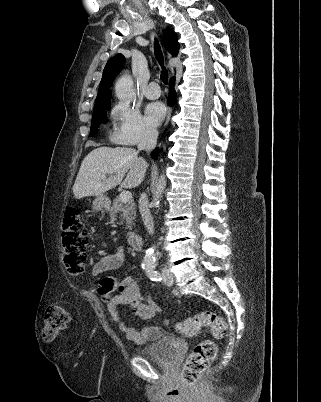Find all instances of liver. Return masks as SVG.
<instances>
[{"mask_svg": "<svg viewBox=\"0 0 321 402\" xmlns=\"http://www.w3.org/2000/svg\"><path fill=\"white\" fill-rule=\"evenodd\" d=\"M138 154L130 147H98L92 150L80 166L73 185L74 197L99 196L117 185L123 188L139 186L148 164ZM102 175H108V178L102 179Z\"/></svg>", "mask_w": 321, "mask_h": 402, "instance_id": "obj_1", "label": "liver"}]
</instances>
